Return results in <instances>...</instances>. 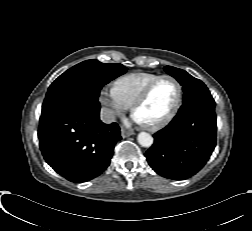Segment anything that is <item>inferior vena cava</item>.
Masks as SVG:
<instances>
[{"label": "inferior vena cava", "mask_w": 252, "mask_h": 231, "mask_svg": "<svg viewBox=\"0 0 252 231\" xmlns=\"http://www.w3.org/2000/svg\"><path fill=\"white\" fill-rule=\"evenodd\" d=\"M115 113L109 108H102L100 111V119L104 123H112L115 121Z\"/></svg>", "instance_id": "obj_1"}]
</instances>
